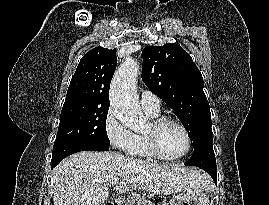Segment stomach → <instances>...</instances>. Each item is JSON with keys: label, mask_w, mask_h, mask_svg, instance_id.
I'll return each instance as SVG.
<instances>
[{"label": "stomach", "mask_w": 269, "mask_h": 205, "mask_svg": "<svg viewBox=\"0 0 269 205\" xmlns=\"http://www.w3.org/2000/svg\"><path fill=\"white\" fill-rule=\"evenodd\" d=\"M209 202V195L205 189L192 188L180 192L168 203L162 196L149 194L140 201L139 205H209Z\"/></svg>", "instance_id": "1"}]
</instances>
